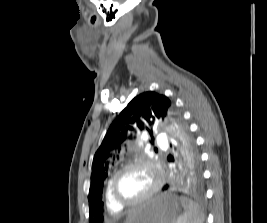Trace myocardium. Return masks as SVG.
I'll use <instances>...</instances> for the list:
<instances>
[{
  "mask_svg": "<svg viewBox=\"0 0 267 223\" xmlns=\"http://www.w3.org/2000/svg\"><path fill=\"white\" fill-rule=\"evenodd\" d=\"M133 166H144L146 168H149L155 177V182L152 188L146 194L141 196L139 199L134 200V201H124L121 198H119L118 195L116 194L115 183H116L117 178L122 172H124L125 170ZM163 181H164V174L161 168L155 162H153L152 160L148 158L136 157L126 162L112 175L109 181V191H110L112 199L118 206L123 207V208H132V207L145 203L146 201L151 199L153 196H155L160 191L163 185Z\"/></svg>",
  "mask_w": 267,
  "mask_h": 223,
  "instance_id": "f54148a6",
  "label": "myocardium"
}]
</instances>
